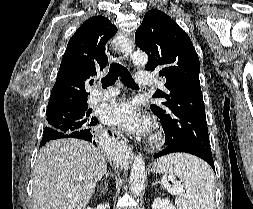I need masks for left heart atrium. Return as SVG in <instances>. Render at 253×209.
I'll return each mask as SVG.
<instances>
[{
    "label": "left heart atrium",
    "instance_id": "obj_1",
    "mask_svg": "<svg viewBox=\"0 0 253 209\" xmlns=\"http://www.w3.org/2000/svg\"><path fill=\"white\" fill-rule=\"evenodd\" d=\"M102 119L108 125L135 134L144 133L151 127L150 119L142 113L134 101L130 100L105 106Z\"/></svg>",
    "mask_w": 253,
    "mask_h": 209
}]
</instances>
